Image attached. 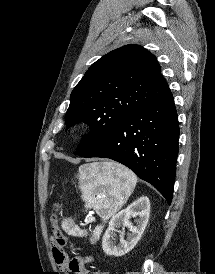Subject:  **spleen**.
Listing matches in <instances>:
<instances>
[{
	"mask_svg": "<svg viewBox=\"0 0 215 274\" xmlns=\"http://www.w3.org/2000/svg\"><path fill=\"white\" fill-rule=\"evenodd\" d=\"M79 188L86 208H93L105 222L126 202L134 190L137 178L129 169L111 162L91 163L79 167ZM62 228L69 234H86L72 223L65 221ZM102 227H96L93 238L96 239Z\"/></svg>",
	"mask_w": 215,
	"mask_h": 274,
	"instance_id": "spleen-1",
	"label": "spleen"
}]
</instances>
